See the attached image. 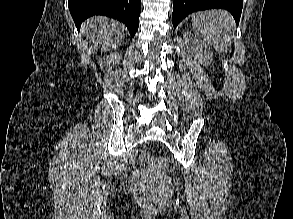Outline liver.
Masks as SVG:
<instances>
[{"label":"liver","mask_w":293,"mask_h":219,"mask_svg":"<svg viewBox=\"0 0 293 219\" xmlns=\"http://www.w3.org/2000/svg\"><path fill=\"white\" fill-rule=\"evenodd\" d=\"M95 48L101 47L103 51H110L119 47L124 41V30L121 25L106 17L94 16L88 19L81 28Z\"/></svg>","instance_id":"liver-1"}]
</instances>
